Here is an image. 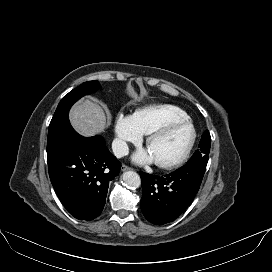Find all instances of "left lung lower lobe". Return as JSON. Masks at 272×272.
Segmentation results:
<instances>
[{
    "instance_id": "0a47b994",
    "label": "left lung lower lobe",
    "mask_w": 272,
    "mask_h": 272,
    "mask_svg": "<svg viewBox=\"0 0 272 272\" xmlns=\"http://www.w3.org/2000/svg\"><path fill=\"white\" fill-rule=\"evenodd\" d=\"M207 162L186 163L166 176L140 172L143 195L141 210L153 224L174 221L192 203L203 179Z\"/></svg>"
}]
</instances>
